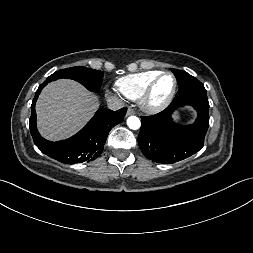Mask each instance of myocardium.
<instances>
[{
  "instance_id": "obj_1",
  "label": "myocardium",
  "mask_w": 253,
  "mask_h": 253,
  "mask_svg": "<svg viewBox=\"0 0 253 253\" xmlns=\"http://www.w3.org/2000/svg\"><path fill=\"white\" fill-rule=\"evenodd\" d=\"M171 76L173 79V87L168 96L160 103H153L151 101L153 90L158 83V81L163 76ZM178 88V81L176 76L169 71L160 72L157 76H155L147 85L145 90L143 91L142 95L139 98V104L143 111H145L148 114H158L162 111H164L173 101Z\"/></svg>"
}]
</instances>
